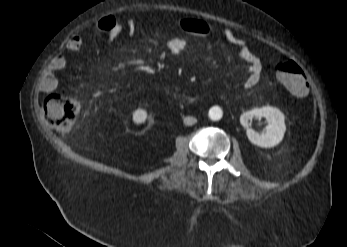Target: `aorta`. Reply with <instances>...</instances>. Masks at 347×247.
<instances>
[{
  "mask_svg": "<svg viewBox=\"0 0 347 247\" xmlns=\"http://www.w3.org/2000/svg\"><path fill=\"white\" fill-rule=\"evenodd\" d=\"M208 115L211 120L218 121L222 118L223 113L219 107H216L211 108Z\"/></svg>",
  "mask_w": 347,
  "mask_h": 247,
  "instance_id": "762f6f07",
  "label": "aorta"
}]
</instances>
